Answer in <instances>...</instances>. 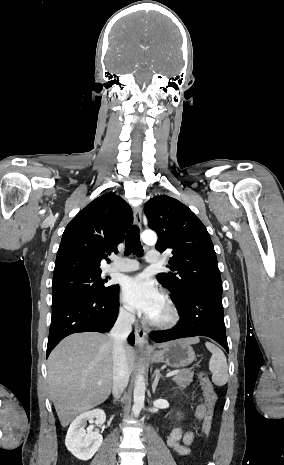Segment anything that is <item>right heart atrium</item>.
<instances>
[{"label": "right heart atrium", "instance_id": "d8ad5b80", "mask_svg": "<svg viewBox=\"0 0 284 465\" xmlns=\"http://www.w3.org/2000/svg\"><path fill=\"white\" fill-rule=\"evenodd\" d=\"M117 316L118 318L125 322V323H131L134 320V316L132 312L125 306L120 305L117 309Z\"/></svg>", "mask_w": 284, "mask_h": 465}]
</instances>
